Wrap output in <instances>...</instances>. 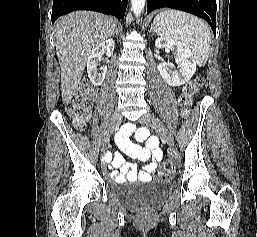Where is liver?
Here are the masks:
<instances>
[{"instance_id": "6515ba94", "label": "liver", "mask_w": 257, "mask_h": 237, "mask_svg": "<svg viewBox=\"0 0 257 237\" xmlns=\"http://www.w3.org/2000/svg\"><path fill=\"white\" fill-rule=\"evenodd\" d=\"M116 26L112 17L92 11H76L56 21L55 43L64 104L75 95L91 51L112 36Z\"/></svg>"}]
</instances>
